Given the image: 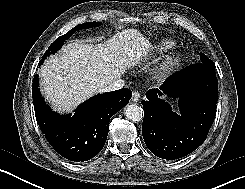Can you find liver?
<instances>
[{
  "label": "liver",
  "mask_w": 245,
  "mask_h": 189,
  "mask_svg": "<svg viewBox=\"0 0 245 189\" xmlns=\"http://www.w3.org/2000/svg\"><path fill=\"white\" fill-rule=\"evenodd\" d=\"M151 44L137 29H125L103 44L74 41L40 69L45 98L70 112L148 57Z\"/></svg>",
  "instance_id": "6515ba94"
}]
</instances>
